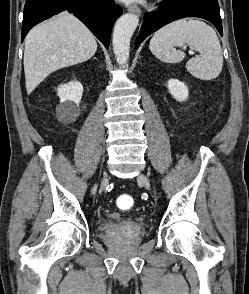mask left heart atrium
<instances>
[{
  "mask_svg": "<svg viewBox=\"0 0 249 294\" xmlns=\"http://www.w3.org/2000/svg\"><path fill=\"white\" fill-rule=\"evenodd\" d=\"M121 1H124V2H131V1H136V0H121Z\"/></svg>",
  "mask_w": 249,
  "mask_h": 294,
  "instance_id": "left-heart-atrium-1",
  "label": "left heart atrium"
}]
</instances>
